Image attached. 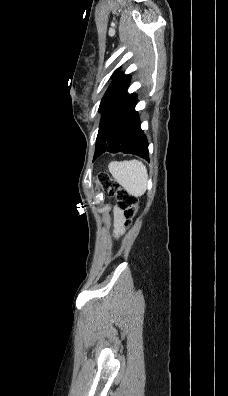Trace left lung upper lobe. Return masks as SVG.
Wrapping results in <instances>:
<instances>
[{
    "label": "left lung upper lobe",
    "mask_w": 228,
    "mask_h": 396,
    "mask_svg": "<svg viewBox=\"0 0 228 396\" xmlns=\"http://www.w3.org/2000/svg\"><path fill=\"white\" fill-rule=\"evenodd\" d=\"M117 71H115L116 73ZM130 83V76L125 74H120L115 77L109 88L107 89L105 95L103 96L99 111L102 112V116L105 111L112 105V103L119 98L127 88Z\"/></svg>",
    "instance_id": "obj_1"
}]
</instances>
